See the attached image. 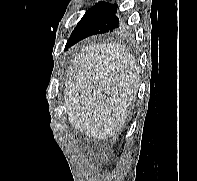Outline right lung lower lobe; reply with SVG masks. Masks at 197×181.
<instances>
[{
  "mask_svg": "<svg viewBox=\"0 0 197 181\" xmlns=\"http://www.w3.org/2000/svg\"><path fill=\"white\" fill-rule=\"evenodd\" d=\"M117 4L99 2L90 8L73 30L65 48H69L80 40L101 33L115 30L120 26Z\"/></svg>",
  "mask_w": 197,
  "mask_h": 181,
  "instance_id": "obj_1",
  "label": "right lung lower lobe"
}]
</instances>
